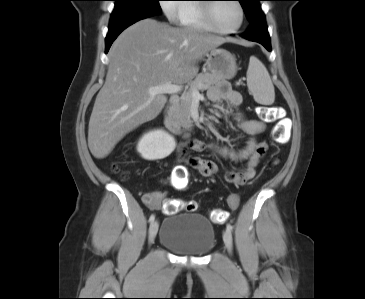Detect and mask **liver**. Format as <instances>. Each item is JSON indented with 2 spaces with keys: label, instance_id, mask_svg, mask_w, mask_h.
<instances>
[{
  "label": "liver",
  "instance_id": "6515ba94",
  "mask_svg": "<svg viewBox=\"0 0 365 299\" xmlns=\"http://www.w3.org/2000/svg\"><path fill=\"white\" fill-rule=\"evenodd\" d=\"M226 41L153 19L123 31L108 53L106 80L90 117L88 147L92 155L107 157L126 134L160 114L167 97L152 96L149 88L192 81L199 71L196 62Z\"/></svg>",
  "mask_w": 365,
  "mask_h": 299
}]
</instances>
